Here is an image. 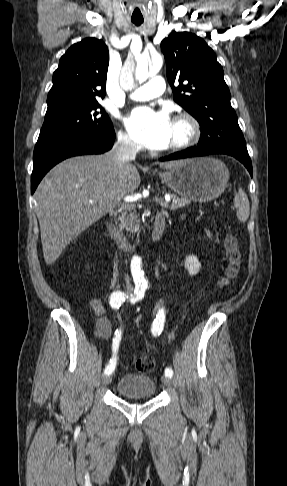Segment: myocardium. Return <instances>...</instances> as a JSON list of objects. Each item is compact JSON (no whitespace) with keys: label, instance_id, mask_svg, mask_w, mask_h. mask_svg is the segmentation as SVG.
I'll return each mask as SVG.
<instances>
[{"label":"myocardium","instance_id":"obj_1","mask_svg":"<svg viewBox=\"0 0 287 486\" xmlns=\"http://www.w3.org/2000/svg\"><path fill=\"white\" fill-rule=\"evenodd\" d=\"M174 122L181 123L186 127V136L177 142L169 145L170 151H182L195 145L201 136V128L197 119L187 112H180L174 117Z\"/></svg>","mask_w":287,"mask_h":486}]
</instances>
